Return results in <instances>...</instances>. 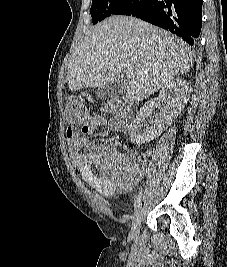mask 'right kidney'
<instances>
[{
  "instance_id": "ca27d5eb",
  "label": "right kidney",
  "mask_w": 227,
  "mask_h": 267,
  "mask_svg": "<svg viewBox=\"0 0 227 267\" xmlns=\"http://www.w3.org/2000/svg\"><path fill=\"white\" fill-rule=\"evenodd\" d=\"M191 91V85L182 79L173 80L162 87L159 97L148 101L137 112L133 124L129 127L131 141L141 145L160 136L184 109ZM161 100H167L166 105L155 119L147 123L145 119L151 116V108L156 101Z\"/></svg>"
}]
</instances>
